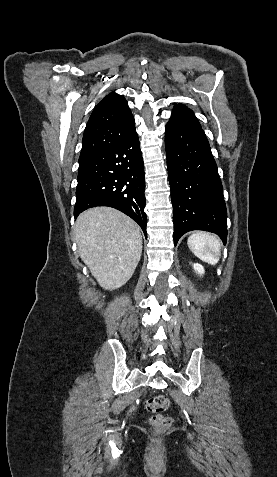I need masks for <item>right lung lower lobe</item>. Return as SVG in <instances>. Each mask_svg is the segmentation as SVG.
Instances as JSON below:
<instances>
[{"mask_svg": "<svg viewBox=\"0 0 277 477\" xmlns=\"http://www.w3.org/2000/svg\"><path fill=\"white\" fill-rule=\"evenodd\" d=\"M144 163L136 129L110 149L79 162L74 216L96 206L130 216L147 238Z\"/></svg>", "mask_w": 277, "mask_h": 477, "instance_id": "98d812e1", "label": "right lung lower lobe"}]
</instances>
